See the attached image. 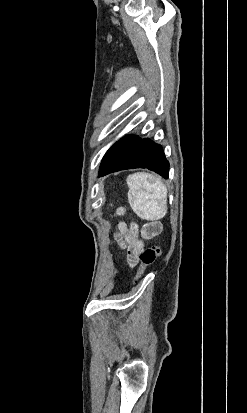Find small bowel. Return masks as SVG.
I'll use <instances>...</instances> for the list:
<instances>
[{"label": "small bowel", "instance_id": "1", "mask_svg": "<svg viewBox=\"0 0 247 413\" xmlns=\"http://www.w3.org/2000/svg\"><path fill=\"white\" fill-rule=\"evenodd\" d=\"M162 231V225L158 221H150L140 228L135 225H128L126 222L118 224V234L116 240L121 248L127 251L128 260L131 265H135L138 260L131 259L132 253L144 249V240H149L157 236ZM129 239L134 241L129 243Z\"/></svg>", "mask_w": 247, "mask_h": 413}]
</instances>
